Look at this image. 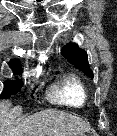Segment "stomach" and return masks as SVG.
<instances>
[{
  "instance_id": "obj_1",
  "label": "stomach",
  "mask_w": 117,
  "mask_h": 136,
  "mask_svg": "<svg viewBox=\"0 0 117 136\" xmlns=\"http://www.w3.org/2000/svg\"><path fill=\"white\" fill-rule=\"evenodd\" d=\"M79 136H85L84 134H80Z\"/></svg>"
}]
</instances>
